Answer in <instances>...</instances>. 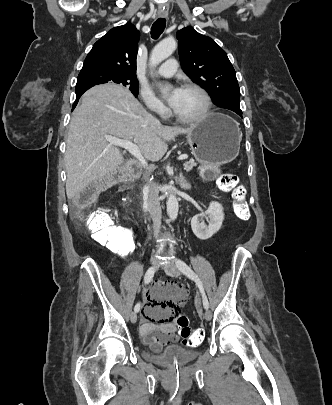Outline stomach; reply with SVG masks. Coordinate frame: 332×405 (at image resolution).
<instances>
[{
	"instance_id": "obj_1",
	"label": "stomach",
	"mask_w": 332,
	"mask_h": 405,
	"mask_svg": "<svg viewBox=\"0 0 332 405\" xmlns=\"http://www.w3.org/2000/svg\"><path fill=\"white\" fill-rule=\"evenodd\" d=\"M241 132L238 124L220 113H210L187 134V142L196 160L203 165L202 174L214 179L219 167L239 154Z\"/></svg>"
}]
</instances>
